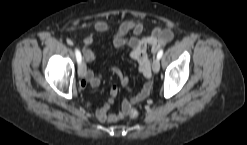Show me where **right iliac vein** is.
Returning a JSON list of instances; mask_svg holds the SVG:
<instances>
[{
	"mask_svg": "<svg viewBox=\"0 0 247 145\" xmlns=\"http://www.w3.org/2000/svg\"><path fill=\"white\" fill-rule=\"evenodd\" d=\"M86 75V64L85 62L83 61L80 65H79V68H78V76L80 78H84Z\"/></svg>",
	"mask_w": 247,
	"mask_h": 145,
	"instance_id": "right-iliac-vein-1",
	"label": "right iliac vein"
}]
</instances>
